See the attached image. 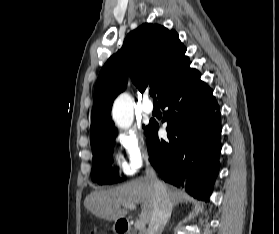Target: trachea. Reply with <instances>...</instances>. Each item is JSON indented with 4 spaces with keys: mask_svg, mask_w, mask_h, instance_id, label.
Instances as JSON below:
<instances>
[{
    "mask_svg": "<svg viewBox=\"0 0 279 234\" xmlns=\"http://www.w3.org/2000/svg\"><path fill=\"white\" fill-rule=\"evenodd\" d=\"M150 95L153 97L154 101H156V98H155L156 91H155V89L150 90Z\"/></svg>",
    "mask_w": 279,
    "mask_h": 234,
    "instance_id": "3493384b",
    "label": "trachea"
}]
</instances>
